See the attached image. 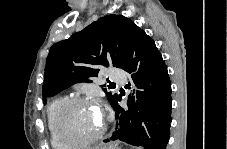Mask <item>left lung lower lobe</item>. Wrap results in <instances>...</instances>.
<instances>
[{"label": "left lung lower lobe", "mask_w": 227, "mask_h": 149, "mask_svg": "<svg viewBox=\"0 0 227 149\" xmlns=\"http://www.w3.org/2000/svg\"><path fill=\"white\" fill-rule=\"evenodd\" d=\"M122 69L130 73L144 91H137V100L135 93L129 95L126 109L119 105L121 95L111 104L118 121L110 140H121L145 149H165L172 120L171 82L161 53L139 27L131 37Z\"/></svg>", "instance_id": "0a47b994"}]
</instances>
